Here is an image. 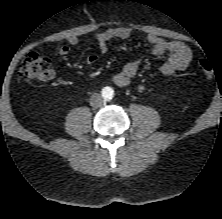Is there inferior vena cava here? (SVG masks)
I'll return each instance as SVG.
<instances>
[{
  "instance_id": "inferior-vena-cava-1",
  "label": "inferior vena cava",
  "mask_w": 222,
  "mask_h": 219,
  "mask_svg": "<svg viewBox=\"0 0 222 219\" xmlns=\"http://www.w3.org/2000/svg\"><path fill=\"white\" fill-rule=\"evenodd\" d=\"M90 105L95 108L101 107L103 105L102 97L97 93L93 94L90 98Z\"/></svg>"
}]
</instances>
